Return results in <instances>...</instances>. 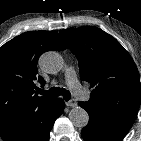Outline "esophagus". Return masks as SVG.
<instances>
[{
    "label": "esophagus",
    "instance_id": "1",
    "mask_svg": "<svg viewBox=\"0 0 141 141\" xmlns=\"http://www.w3.org/2000/svg\"><path fill=\"white\" fill-rule=\"evenodd\" d=\"M66 105L68 107H76L77 106V101L75 99H71L70 101L66 102Z\"/></svg>",
    "mask_w": 141,
    "mask_h": 141
}]
</instances>
